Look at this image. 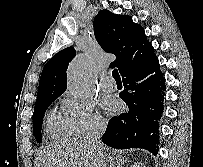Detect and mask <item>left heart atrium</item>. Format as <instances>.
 Wrapping results in <instances>:
<instances>
[{
	"instance_id": "left-heart-atrium-1",
	"label": "left heart atrium",
	"mask_w": 203,
	"mask_h": 167,
	"mask_svg": "<svg viewBox=\"0 0 203 167\" xmlns=\"http://www.w3.org/2000/svg\"><path fill=\"white\" fill-rule=\"evenodd\" d=\"M103 107L107 112L113 113L117 109V104L112 100H105L103 103Z\"/></svg>"
}]
</instances>
